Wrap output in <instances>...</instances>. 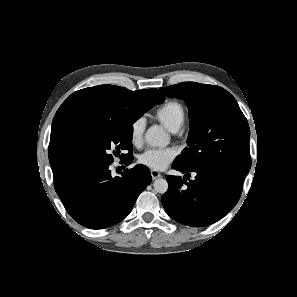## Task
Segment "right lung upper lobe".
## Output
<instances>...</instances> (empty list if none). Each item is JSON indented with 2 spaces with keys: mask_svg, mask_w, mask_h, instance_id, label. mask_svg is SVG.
<instances>
[{
  "mask_svg": "<svg viewBox=\"0 0 297 297\" xmlns=\"http://www.w3.org/2000/svg\"><path fill=\"white\" fill-rule=\"evenodd\" d=\"M143 96L165 100L158 89L130 91L114 85H100L71 94L59 107L52 123L48 156L54 186H60L75 171L68 163L65 144L69 134L79 125L99 120L129 118L135 101Z\"/></svg>",
  "mask_w": 297,
  "mask_h": 297,
  "instance_id": "obj_1",
  "label": "right lung upper lobe"
}]
</instances>
